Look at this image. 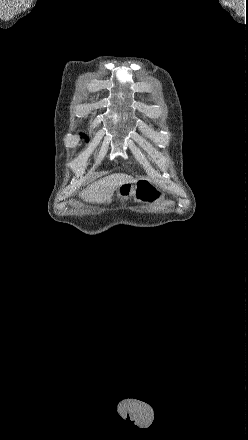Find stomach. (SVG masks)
<instances>
[{"mask_svg": "<svg viewBox=\"0 0 248 440\" xmlns=\"http://www.w3.org/2000/svg\"><path fill=\"white\" fill-rule=\"evenodd\" d=\"M117 194L122 199L134 196L138 201L153 203L165 199V194L146 178L139 179L133 184H123L118 188Z\"/></svg>", "mask_w": 248, "mask_h": 440, "instance_id": "0dacf381", "label": "stomach"}]
</instances>
